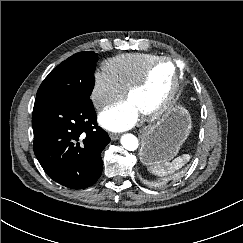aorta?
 <instances>
[{
	"label": "aorta",
	"instance_id": "aorta-1",
	"mask_svg": "<svg viewBox=\"0 0 243 243\" xmlns=\"http://www.w3.org/2000/svg\"><path fill=\"white\" fill-rule=\"evenodd\" d=\"M122 146L129 151H134L138 148V139L133 134H125L121 138Z\"/></svg>",
	"mask_w": 243,
	"mask_h": 243
}]
</instances>
